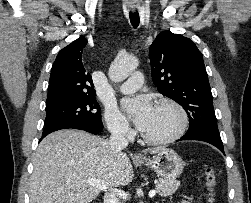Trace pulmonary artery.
Instances as JSON below:
<instances>
[{
	"label": "pulmonary artery",
	"instance_id": "1",
	"mask_svg": "<svg viewBox=\"0 0 251 203\" xmlns=\"http://www.w3.org/2000/svg\"><path fill=\"white\" fill-rule=\"evenodd\" d=\"M144 78L141 72H135L119 86V90L123 93H132L138 90L143 84Z\"/></svg>",
	"mask_w": 251,
	"mask_h": 203
}]
</instances>
